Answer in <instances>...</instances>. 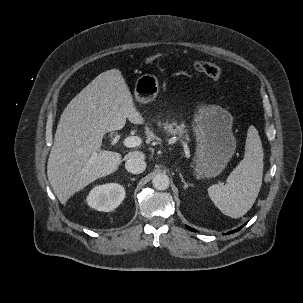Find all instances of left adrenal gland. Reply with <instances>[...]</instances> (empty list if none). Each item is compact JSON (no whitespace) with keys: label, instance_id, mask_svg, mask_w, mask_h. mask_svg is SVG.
Masks as SVG:
<instances>
[{"label":"left adrenal gland","instance_id":"obj_1","mask_svg":"<svg viewBox=\"0 0 303 303\" xmlns=\"http://www.w3.org/2000/svg\"><path fill=\"white\" fill-rule=\"evenodd\" d=\"M180 178H181V181L182 183L184 184V189H187L189 186H192L191 184H187L182 176V174L180 173Z\"/></svg>","mask_w":303,"mask_h":303}]
</instances>
